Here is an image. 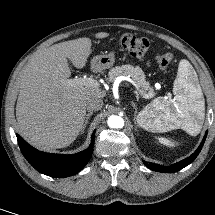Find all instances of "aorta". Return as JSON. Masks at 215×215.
<instances>
[{
    "label": "aorta",
    "mask_w": 215,
    "mask_h": 215,
    "mask_svg": "<svg viewBox=\"0 0 215 215\" xmlns=\"http://www.w3.org/2000/svg\"><path fill=\"white\" fill-rule=\"evenodd\" d=\"M108 125L110 128H122L124 126V120L122 117L117 115H112L108 118Z\"/></svg>",
    "instance_id": "obj_1"
}]
</instances>
